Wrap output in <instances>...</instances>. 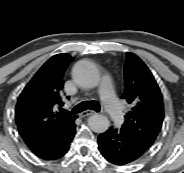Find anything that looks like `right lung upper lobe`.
<instances>
[{
  "instance_id": "1",
  "label": "right lung upper lobe",
  "mask_w": 184,
  "mask_h": 173,
  "mask_svg": "<svg viewBox=\"0 0 184 173\" xmlns=\"http://www.w3.org/2000/svg\"><path fill=\"white\" fill-rule=\"evenodd\" d=\"M73 58L68 54L51 57L20 94L15 120L19 133L32 143L74 123L76 116L62 113L64 73Z\"/></svg>"
}]
</instances>
